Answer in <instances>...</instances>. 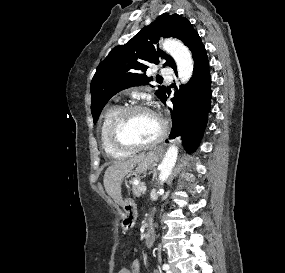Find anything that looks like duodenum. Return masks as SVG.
Returning a JSON list of instances; mask_svg holds the SVG:
<instances>
[{
	"label": "duodenum",
	"mask_w": 285,
	"mask_h": 273,
	"mask_svg": "<svg viewBox=\"0 0 285 273\" xmlns=\"http://www.w3.org/2000/svg\"><path fill=\"white\" fill-rule=\"evenodd\" d=\"M149 221H150V226L148 230L146 231L145 238H144L145 244L147 247H150L153 244L154 237H155L153 218L150 217Z\"/></svg>",
	"instance_id": "obj_1"
}]
</instances>
